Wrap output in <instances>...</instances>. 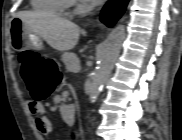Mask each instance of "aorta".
Here are the masks:
<instances>
[{
	"label": "aorta",
	"mask_w": 182,
	"mask_h": 140,
	"mask_svg": "<svg viewBox=\"0 0 182 140\" xmlns=\"http://www.w3.org/2000/svg\"><path fill=\"white\" fill-rule=\"evenodd\" d=\"M125 35V26L118 25L111 31L107 39L104 41L99 55V63L92 77L90 86L89 97L91 103H95L98 99L101 89L114 67V63L119 55Z\"/></svg>",
	"instance_id": "1"
}]
</instances>
